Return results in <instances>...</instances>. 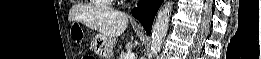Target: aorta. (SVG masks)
I'll list each match as a JSON object with an SVG mask.
<instances>
[{"label": "aorta", "mask_w": 261, "mask_h": 59, "mask_svg": "<svg viewBox=\"0 0 261 59\" xmlns=\"http://www.w3.org/2000/svg\"><path fill=\"white\" fill-rule=\"evenodd\" d=\"M172 9V1H167L157 14L151 35L150 50L153 56H157L162 48L168 31Z\"/></svg>", "instance_id": "aorta-1"}]
</instances>
